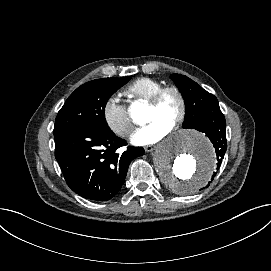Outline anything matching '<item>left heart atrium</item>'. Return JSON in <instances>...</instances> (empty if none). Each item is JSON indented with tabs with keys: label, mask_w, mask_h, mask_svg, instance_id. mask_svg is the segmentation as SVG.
Here are the masks:
<instances>
[{
	"label": "left heart atrium",
	"mask_w": 271,
	"mask_h": 271,
	"mask_svg": "<svg viewBox=\"0 0 271 271\" xmlns=\"http://www.w3.org/2000/svg\"><path fill=\"white\" fill-rule=\"evenodd\" d=\"M171 127L158 121L148 123L146 126L136 129L130 136V141L136 146H150L168 136Z\"/></svg>",
	"instance_id": "obj_1"
}]
</instances>
